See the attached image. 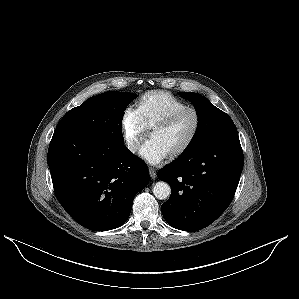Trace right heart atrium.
Instances as JSON below:
<instances>
[{
    "label": "right heart atrium",
    "instance_id": "1",
    "mask_svg": "<svg viewBox=\"0 0 299 299\" xmlns=\"http://www.w3.org/2000/svg\"><path fill=\"white\" fill-rule=\"evenodd\" d=\"M121 131L126 148L136 153L147 135V128L136 110L127 108L122 115Z\"/></svg>",
    "mask_w": 299,
    "mask_h": 299
}]
</instances>
